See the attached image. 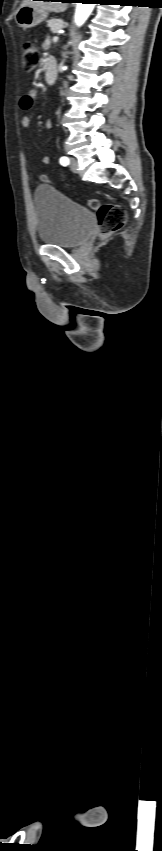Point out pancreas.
Returning <instances> with one entry per match:
<instances>
[{
    "label": "pancreas",
    "instance_id": "pancreas-1",
    "mask_svg": "<svg viewBox=\"0 0 162 851\" xmlns=\"http://www.w3.org/2000/svg\"><path fill=\"white\" fill-rule=\"evenodd\" d=\"M48 26L53 33H57L60 29L64 28V23L62 20L52 19L48 21Z\"/></svg>",
    "mask_w": 162,
    "mask_h": 851
}]
</instances>
